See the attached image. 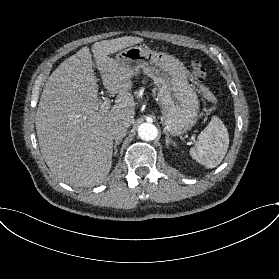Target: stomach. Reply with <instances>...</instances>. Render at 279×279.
I'll use <instances>...</instances> for the list:
<instances>
[{
    "label": "stomach",
    "mask_w": 279,
    "mask_h": 279,
    "mask_svg": "<svg viewBox=\"0 0 279 279\" xmlns=\"http://www.w3.org/2000/svg\"><path fill=\"white\" fill-rule=\"evenodd\" d=\"M118 59L136 75L141 69L158 90L161 121L165 131L174 137L185 135L194 125L199 113V101L190 72L174 55L136 46L121 51Z\"/></svg>",
    "instance_id": "stomach-1"
}]
</instances>
